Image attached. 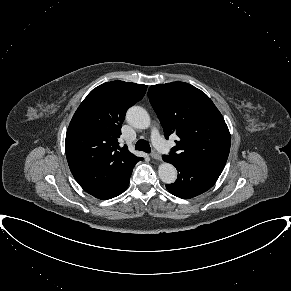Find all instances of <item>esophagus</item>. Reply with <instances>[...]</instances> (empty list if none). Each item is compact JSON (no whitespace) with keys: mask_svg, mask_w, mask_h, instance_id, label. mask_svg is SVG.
<instances>
[{"mask_svg":"<svg viewBox=\"0 0 291 291\" xmlns=\"http://www.w3.org/2000/svg\"><path fill=\"white\" fill-rule=\"evenodd\" d=\"M151 157L155 160H161L162 157L159 153H157L156 151H153L152 154H151Z\"/></svg>","mask_w":291,"mask_h":291,"instance_id":"obj_1","label":"esophagus"}]
</instances>
